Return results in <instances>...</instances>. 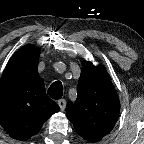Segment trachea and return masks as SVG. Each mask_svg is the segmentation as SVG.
I'll return each instance as SVG.
<instances>
[{"label": "trachea", "instance_id": "obj_1", "mask_svg": "<svg viewBox=\"0 0 144 144\" xmlns=\"http://www.w3.org/2000/svg\"><path fill=\"white\" fill-rule=\"evenodd\" d=\"M48 95L55 100H58L63 95V86L60 81H55L48 89Z\"/></svg>", "mask_w": 144, "mask_h": 144}]
</instances>
